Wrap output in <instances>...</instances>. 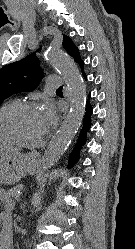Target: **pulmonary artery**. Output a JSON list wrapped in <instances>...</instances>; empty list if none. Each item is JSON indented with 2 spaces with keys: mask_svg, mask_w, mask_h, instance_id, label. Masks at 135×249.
I'll use <instances>...</instances> for the list:
<instances>
[{
  "mask_svg": "<svg viewBox=\"0 0 135 249\" xmlns=\"http://www.w3.org/2000/svg\"><path fill=\"white\" fill-rule=\"evenodd\" d=\"M61 85V80L59 76H51L48 78V86L52 88L59 87Z\"/></svg>",
  "mask_w": 135,
  "mask_h": 249,
  "instance_id": "obj_1",
  "label": "pulmonary artery"
}]
</instances>
